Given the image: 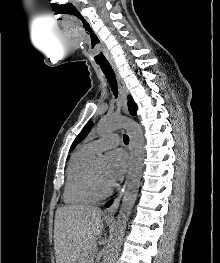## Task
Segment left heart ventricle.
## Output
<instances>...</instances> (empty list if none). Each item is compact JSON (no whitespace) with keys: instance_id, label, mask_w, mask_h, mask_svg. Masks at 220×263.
I'll return each mask as SVG.
<instances>
[{"instance_id":"left-heart-ventricle-1","label":"left heart ventricle","mask_w":220,"mask_h":263,"mask_svg":"<svg viewBox=\"0 0 220 263\" xmlns=\"http://www.w3.org/2000/svg\"><path fill=\"white\" fill-rule=\"evenodd\" d=\"M94 171L100 187L103 189L108 188L110 184L108 183L105 176V171H106L105 165H95Z\"/></svg>"}]
</instances>
